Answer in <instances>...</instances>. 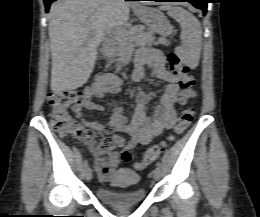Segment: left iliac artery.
<instances>
[{
	"instance_id": "obj_1",
	"label": "left iliac artery",
	"mask_w": 260,
	"mask_h": 217,
	"mask_svg": "<svg viewBox=\"0 0 260 217\" xmlns=\"http://www.w3.org/2000/svg\"><path fill=\"white\" fill-rule=\"evenodd\" d=\"M156 166H157L158 168H161V166H162L161 162L158 161V162L156 163Z\"/></svg>"
}]
</instances>
